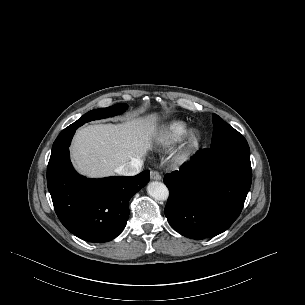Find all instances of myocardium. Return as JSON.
Listing matches in <instances>:
<instances>
[{"instance_id":"myocardium-1","label":"myocardium","mask_w":305,"mask_h":305,"mask_svg":"<svg viewBox=\"0 0 305 305\" xmlns=\"http://www.w3.org/2000/svg\"><path fill=\"white\" fill-rule=\"evenodd\" d=\"M201 134L197 130L189 131L182 144L181 153L183 155H191L195 153L201 145Z\"/></svg>"}]
</instances>
